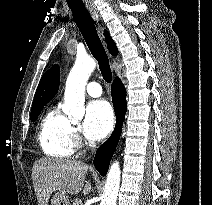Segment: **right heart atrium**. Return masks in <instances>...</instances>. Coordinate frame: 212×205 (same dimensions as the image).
<instances>
[{
	"instance_id": "right-heart-atrium-1",
	"label": "right heart atrium",
	"mask_w": 212,
	"mask_h": 205,
	"mask_svg": "<svg viewBox=\"0 0 212 205\" xmlns=\"http://www.w3.org/2000/svg\"><path fill=\"white\" fill-rule=\"evenodd\" d=\"M73 136L75 139H79L80 135H79V131L77 127H73Z\"/></svg>"
}]
</instances>
